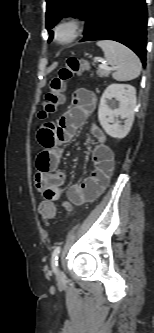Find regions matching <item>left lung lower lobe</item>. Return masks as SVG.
Segmentation results:
<instances>
[{
	"instance_id": "0a47b994",
	"label": "left lung lower lobe",
	"mask_w": 154,
	"mask_h": 333,
	"mask_svg": "<svg viewBox=\"0 0 154 333\" xmlns=\"http://www.w3.org/2000/svg\"><path fill=\"white\" fill-rule=\"evenodd\" d=\"M81 41L114 40L133 50L145 65L147 7L145 0H97L85 18ZM52 40L49 38L48 42Z\"/></svg>"
}]
</instances>
